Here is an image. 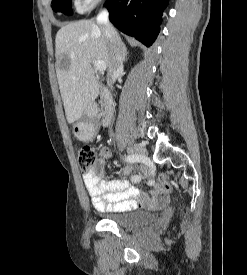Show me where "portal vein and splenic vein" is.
Listing matches in <instances>:
<instances>
[{
	"instance_id": "portal-vein-and-splenic-vein-1",
	"label": "portal vein and splenic vein",
	"mask_w": 247,
	"mask_h": 275,
	"mask_svg": "<svg viewBox=\"0 0 247 275\" xmlns=\"http://www.w3.org/2000/svg\"><path fill=\"white\" fill-rule=\"evenodd\" d=\"M95 69L99 72H104L106 70V64L103 61H93Z\"/></svg>"
}]
</instances>
